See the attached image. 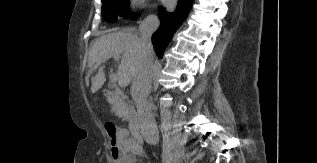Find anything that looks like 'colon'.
Returning a JSON list of instances; mask_svg holds the SVG:
<instances>
[{
    "instance_id": "5ec220e1",
    "label": "colon",
    "mask_w": 317,
    "mask_h": 163,
    "mask_svg": "<svg viewBox=\"0 0 317 163\" xmlns=\"http://www.w3.org/2000/svg\"><path fill=\"white\" fill-rule=\"evenodd\" d=\"M106 131L111 139L112 146L115 147V143L117 141V129L114 125L108 124L106 125ZM113 155L117 157L118 152L117 149L114 148Z\"/></svg>"
}]
</instances>
